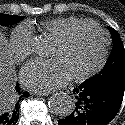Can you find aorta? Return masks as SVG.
<instances>
[{
    "label": "aorta",
    "mask_w": 125,
    "mask_h": 125,
    "mask_svg": "<svg viewBox=\"0 0 125 125\" xmlns=\"http://www.w3.org/2000/svg\"><path fill=\"white\" fill-rule=\"evenodd\" d=\"M52 43L46 38L38 39L36 52L40 57H48L52 52ZM49 108L56 115L66 117L74 110L73 98L65 92H57L49 99Z\"/></svg>",
    "instance_id": "obj_1"
}]
</instances>
